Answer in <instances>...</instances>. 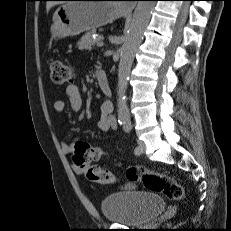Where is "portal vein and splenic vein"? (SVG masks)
Returning a JSON list of instances; mask_svg holds the SVG:
<instances>
[{
  "instance_id": "1",
  "label": "portal vein and splenic vein",
  "mask_w": 231,
  "mask_h": 231,
  "mask_svg": "<svg viewBox=\"0 0 231 231\" xmlns=\"http://www.w3.org/2000/svg\"><path fill=\"white\" fill-rule=\"evenodd\" d=\"M103 45H104V42H103V41L100 40L99 42H97V46H98V47H102Z\"/></svg>"
}]
</instances>
